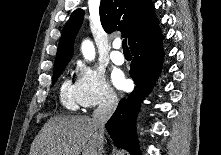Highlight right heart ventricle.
<instances>
[{"label": "right heart ventricle", "mask_w": 221, "mask_h": 155, "mask_svg": "<svg viewBox=\"0 0 221 155\" xmlns=\"http://www.w3.org/2000/svg\"><path fill=\"white\" fill-rule=\"evenodd\" d=\"M61 104L68 110L75 111L80 107L77 96L76 84L66 79L60 89Z\"/></svg>", "instance_id": "1"}]
</instances>
